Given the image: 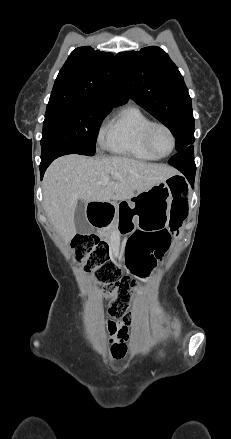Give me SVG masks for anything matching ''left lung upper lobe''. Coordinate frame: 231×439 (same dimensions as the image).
Wrapping results in <instances>:
<instances>
[{"instance_id":"obj_1","label":"left lung upper lobe","mask_w":231,"mask_h":439,"mask_svg":"<svg viewBox=\"0 0 231 439\" xmlns=\"http://www.w3.org/2000/svg\"><path fill=\"white\" fill-rule=\"evenodd\" d=\"M116 62L131 98L170 129L176 150L192 145L195 138L191 98L168 54L150 46L118 53Z\"/></svg>"}]
</instances>
